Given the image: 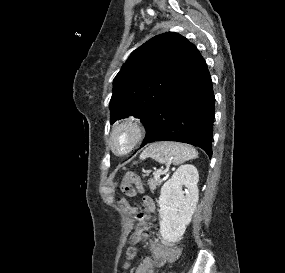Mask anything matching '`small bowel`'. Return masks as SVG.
Returning <instances> with one entry per match:
<instances>
[{"label":"small bowel","mask_w":285,"mask_h":273,"mask_svg":"<svg viewBox=\"0 0 285 273\" xmlns=\"http://www.w3.org/2000/svg\"><path fill=\"white\" fill-rule=\"evenodd\" d=\"M142 205L146 206L149 213L155 212L156 202L153 198L145 196L142 199ZM148 236L145 233L141 242H144ZM151 256L145 257L141 263L135 268L134 273H154L157 267H161L167 262L174 261L179 255V248L171 247L159 242H152L150 244Z\"/></svg>","instance_id":"small-bowel-1"}]
</instances>
